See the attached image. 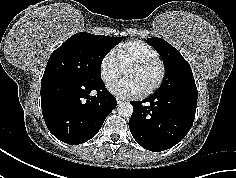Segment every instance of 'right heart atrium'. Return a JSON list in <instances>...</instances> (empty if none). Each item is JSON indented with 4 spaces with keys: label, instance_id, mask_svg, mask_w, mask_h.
Instances as JSON below:
<instances>
[{
    "label": "right heart atrium",
    "instance_id": "obj_1",
    "mask_svg": "<svg viewBox=\"0 0 236 178\" xmlns=\"http://www.w3.org/2000/svg\"><path fill=\"white\" fill-rule=\"evenodd\" d=\"M99 73L106 86L111 85L123 73V68L117 61L114 53H105L99 62Z\"/></svg>",
    "mask_w": 236,
    "mask_h": 178
}]
</instances>
